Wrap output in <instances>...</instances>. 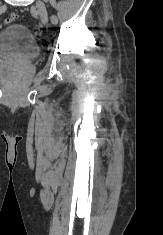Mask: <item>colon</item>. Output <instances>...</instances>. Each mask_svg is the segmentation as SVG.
<instances>
[{
  "label": "colon",
  "mask_w": 163,
  "mask_h": 235,
  "mask_svg": "<svg viewBox=\"0 0 163 235\" xmlns=\"http://www.w3.org/2000/svg\"><path fill=\"white\" fill-rule=\"evenodd\" d=\"M17 19H18V15L15 13H11L5 18L4 22L6 24H10V23L16 21Z\"/></svg>",
  "instance_id": "obj_1"
}]
</instances>
